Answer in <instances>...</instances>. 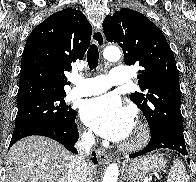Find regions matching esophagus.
<instances>
[{"mask_svg": "<svg viewBox=\"0 0 196 182\" xmlns=\"http://www.w3.org/2000/svg\"><path fill=\"white\" fill-rule=\"evenodd\" d=\"M92 42L96 44L100 49L105 46V37L101 28H94L92 32ZM97 156L100 163H108L111 159V155L105 150H98Z\"/></svg>", "mask_w": 196, "mask_h": 182, "instance_id": "esophagus-1", "label": "esophagus"}]
</instances>
